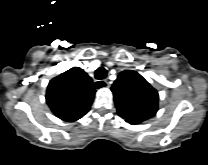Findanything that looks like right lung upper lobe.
<instances>
[{
    "instance_id": "1",
    "label": "right lung upper lobe",
    "mask_w": 208,
    "mask_h": 165,
    "mask_svg": "<svg viewBox=\"0 0 208 165\" xmlns=\"http://www.w3.org/2000/svg\"><path fill=\"white\" fill-rule=\"evenodd\" d=\"M95 93L91 77L74 67L50 80L46 102L55 116L74 122L89 111Z\"/></svg>"
}]
</instances>
